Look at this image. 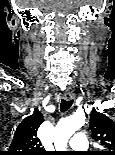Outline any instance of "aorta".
<instances>
[{"label":"aorta","mask_w":115,"mask_h":155,"mask_svg":"<svg viewBox=\"0 0 115 155\" xmlns=\"http://www.w3.org/2000/svg\"><path fill=\"white\" fill-rule=\"evenodd\" d=\"M85 124L83 113H75L58 122L55 128L54 143L59 151H65L70 137Z\"/></svg>","instance_id":"obj_1"}]
</instances>
